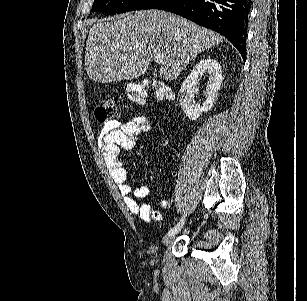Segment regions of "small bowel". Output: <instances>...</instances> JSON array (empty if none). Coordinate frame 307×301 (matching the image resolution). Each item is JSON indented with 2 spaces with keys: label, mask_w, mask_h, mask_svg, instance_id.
<instances>
[{
  "label": "small bowel",
  "mask_w": 307,
  "mask_h": 301,
  "mask_svg": "<svg viewBox=\"0 0 307 301\" xmlns=\"http://www.w3.org/2000/svg\"><path fill=\"white\" fill-rule=\"evenodd\" d=\"M149 128L148 118L143 115H136L126 121L112 120L104 123L98 137V145L104 161L126 206L134 215L145 221H150L153 210L147 204H140L138 199L146 197L150 190L147 186L132 189L127 179V171L119 158V153L121 150L133 149L137 144L139 135L148 131ZM162 206L166 208L172 206L169 195H165Z\"/></svg>",
  "instance_id": "c3829d8e"
}]
</instances>
